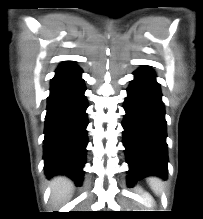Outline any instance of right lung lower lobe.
Instances as JSON below:
<instances>
[{
  "instance_id": "obj_1",
  "label": "right lung lower lobe",
  "mask_w": 203,
  "mask_h": 219,
  "mask_svg": "<svg viewBox=\"0 0 203 219\" xmlns=\"http://www.w3.org/2000/svg\"><path fill=\"white\" fill-rule=\"evenodd\" d=\"M82 70L71 61L59 65L51 80L44 138V169L81 183L86 161L88 124Z\"/></svg>"
}]
</instances>
